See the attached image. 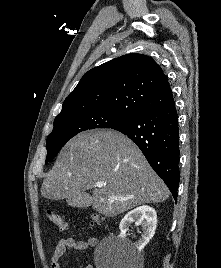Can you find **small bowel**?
I'll list each match as a JSON object with an SVG mask.
<instances>
[{"label": "small bowel", "mask_w": 221, "mask_h": 268, "mask_svg": "<svg viewBox=\"0 0 221 268\" xmlns=\"http://www.w3.org/2000/svg\"><path fill=\"white\" fill-rule=\"evenodd\" d=\"M96 244L97 239L94 237H90L86 240H78L72 237L60 240L51 256L50 268H62L63 256L67 251L75 250L83 252L89 248L95 247ZM85 268H93V266L86 265Z\"/></svg>", "instance_id": "c3829d8e"}]
</instances>
